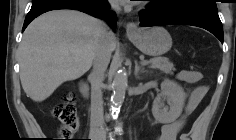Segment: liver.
I'll return each mask as SVG.
<instances>
[{"mask_svg": "<svg viewBox=\"0 0 236 140\" xmlns=\"http://www.w3.org/2000/svg\"><path fill=\"white\" fill-rule=\"evenodd\" d=\"M103 23L75 10H55L27 27L19 46L24 92L42 102L64 82L80 78L92 66ZM117 40H112V50Z\"/></svg>", "mask_w": 236, "mask_h": 140, "instance_id": "liver-1", "label": "liver"}]
</instances>
